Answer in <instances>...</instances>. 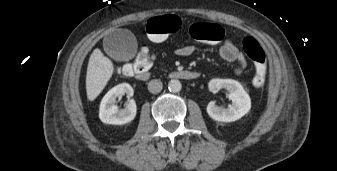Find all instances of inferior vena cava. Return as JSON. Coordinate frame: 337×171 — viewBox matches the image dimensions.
Here are the masks:
<instances>
[{"label":"inferior vena cava","instance_id":"inferior-vena-cava-1","mask_svg":"<svg viewBox=\"0 0 337 171\" xmlns=\"http://www.w3.org/2000/svg\"><path fill=\"white\" fill-rule=\"evenodd\" d=\"M163 88L162 82L158 79L151 80L148 84V90L153 93H159Z\"/></svg>","mask_w":337,"mask_h":171}]
</instances>
